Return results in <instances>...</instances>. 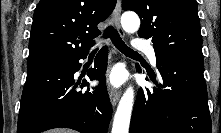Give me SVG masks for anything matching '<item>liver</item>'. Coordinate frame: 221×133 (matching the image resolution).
<instances>
[{
    "instance_id": "6515ba94",
    "label": "liver",
    "mask_w": 221,
    "mask_h": 133,
    "mask_svg": "<svg viewBox=\"0 0 221 133\" xmlns=\"http://www.w3.org/2000/svg\"><path fill=\"white\" fill-rule=\"evenodd\" d=\"M49 133H74V132L69 129H54L51 130Z\"/></svg>"
}]
</instances>
